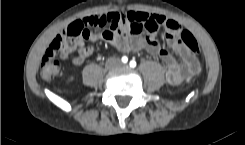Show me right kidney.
Segmentation results:
<instances>
[{
    "label": "right kidney",
    "mask_w": 245,
    "mask_h": 145,
    "mask_svg": "<svg viewBox=\"0 0 245 145\" xmlns=\"http://www.w3.org/2000/svg\"><path fill=\"white\" fill-rule=\"evenodd\" d=\"M72 79H73V77H72V76H70V77H69V80H72Z\"/></svg>",
    "instance_id": "right-kidney-1"
}]
</instances>
